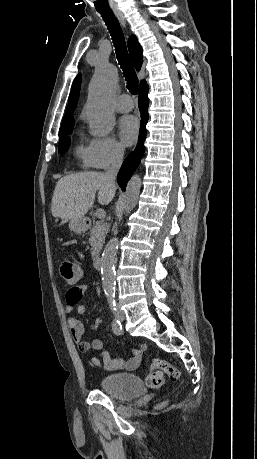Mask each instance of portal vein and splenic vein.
<instances>
[{
  "label": "portal vein and splenic vein",
  "mask_w": 257,
  "mask_h": 459,
  "mask_svg": "<svg viewBox=\"0 0 257 459\" xmlns=\"http://www.w3.org/2000/svg\"><path fill=\"white\" fill-rule=\"evenodd\" d=\"M96 216H97V218H99L100 220H103V219L105 218V216H106V213H105L104 210L99 209V210L96 211Z\"/></svg>",
  "instance_id": "portal-vein-and-splenic-vein-1"
}]
</instances>
